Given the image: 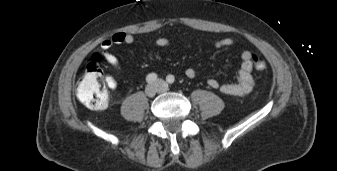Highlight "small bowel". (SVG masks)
<instances>
[{
	"mask_svg": "<svg viewBox=\"0 0 337 171\" xmlns=\"http://www.w3.org/2000/svg\"><path fill=\"white\" fill-rule=\"evenodd\" d=\"M134 42V36L127 32H117L112 36L105 38L100 45L99 53L102 55L106 63L115 70H119L121 67L119 59L112 54L109 50L115 45L132 44ZM154 44L157 47H168L170 40L165 37H160L154 40ZM234 45L232 38H222L214 43L216 48H226ZM252 53L250 51H243L241 53V64L238 70L235 82L221 84L216 78H209L207 80L208 85L213 89L220 90L225 95L230 96H244L252 91L255 82L253 78V64ZM196 70L194 68H187L185 70L186 77L192 79L196 77ZM105 82L110 89L117 87V81L112 76H106Z\"/></svg>",
	"mask_w": 337,
	"mask_h": 171,
	"instance_id": "c3829d8e",
	"label": "small bowel"
}]
</instances>
